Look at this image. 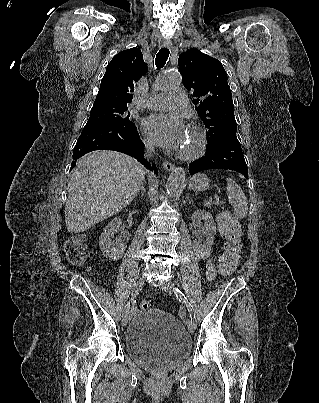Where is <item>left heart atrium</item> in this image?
<instances>
[{
    "label": "left heart atrium",
    "mask_w": 319,
    "mask_h": 403,
    "mask_svg": "<svg viewBox=\"0 0 319 403\" xmlns=\"http://www.w3.org/2000/svg\"><path fill=\"white\" fill-rule=\"evenodd\" d=\"M144 128L154 143L169 149L180 150L187 136L184 123L174 114L152 115L145 120Z\"/></svg>",
    "instance_id": "obj_1"
}]
</instances>
